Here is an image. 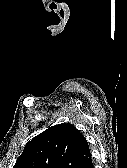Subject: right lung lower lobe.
<instances>
[{"instance_id": "right-lung-lower-lobe-1", "label": "right lung lower lobe", "mask_w": 127, "mask_h": 168, "mask_svg": "<svg viewBox=\"0 0 127 168\" xmlns=\"http://www.w3.org/2000/svg\"><path fill=\"white\" fill-rule=\"evenodd\" d=\"M75 168H93L92 159L85 160L84 162L77 165Z\"/></svg>"}]
</instances>
